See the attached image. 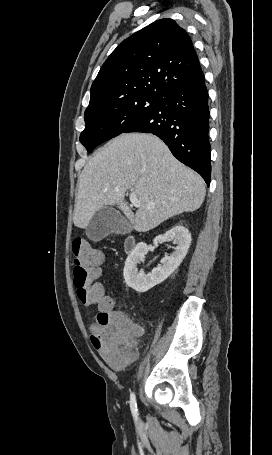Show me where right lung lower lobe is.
<instances>
[{"mask_svg": "<svg viewBox=\"0 0 272 455\" xmlns=\"http://www.w3.org/2000/svg\"><path fill=\"white\" fill-rule=\"evenodd\" d=\"M208 91L204 75L172 90L159 106L131 125L125 133H152L162 139L172 154L210 183Z\"/></svg>", "mask_w": 272, "mask_h": 455, "instance_id": "obj_1", "label": "right lung lower lobe"}]
</instances>
